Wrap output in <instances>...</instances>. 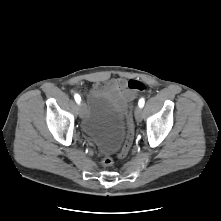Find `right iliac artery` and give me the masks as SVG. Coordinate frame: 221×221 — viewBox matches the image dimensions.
<instances>
[{
  "label": "right iliac artery",
  "instance_id": "obj_1",
  "mask_svg": "<svg viewBox=\"0 0 221 221\" xmlns=\"http://www.w3.org/2000/svg\"><path fill=\"white\" fill-rule=\"evenodd\" d=\"M74 99L77 103H80V101H81V97L78 94L74 95Z\"/></svg>",
  "mask_w": 221,
  "mask_h": 221
}]
</instances>
